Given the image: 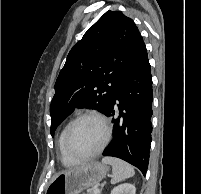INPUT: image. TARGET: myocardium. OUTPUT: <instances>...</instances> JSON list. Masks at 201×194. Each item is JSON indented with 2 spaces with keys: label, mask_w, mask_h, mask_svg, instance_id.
Wrapping results in <instances>:
<instances>
[{
  "label": "myocardium",
  "mask_w": 201,
  "mask_h": 194,
  "mask_svg": "<svg viewBox=\"0 0 201 194\" xmlns=\"http://www.w3.org/2000/svg\"><path fill=\"white\" fill-rule=\"evenodd\" d=\"M85 118H93V119H96L99 122H101V124L104 127V133H105V135H104L103 142L101 143V145L95 151H93L92 153L86 154V155H78V154H75L70 149V146H69L70 135H71V132H72L74 126L80 120L85 119ZM110 138H111V128H110L108 120L103 115H101L99 113H96V112H85V113H82V114H79L78 116H76L68 124V126L66 128V131H65V134H64L63 147H64L65 153L71 159H73L75 161H78V162H80V161H86V160H89V159H92V158L98 156L104 150V148L107 146V144L110 141Z\"/></svg>",
  "instance_id": "f54148a6"
}]
</instances>
